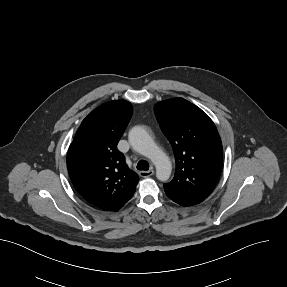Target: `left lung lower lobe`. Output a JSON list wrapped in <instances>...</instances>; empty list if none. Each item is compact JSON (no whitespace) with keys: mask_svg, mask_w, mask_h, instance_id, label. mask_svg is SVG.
<instances>
[{"mask_svg":"<svg viewBox=\"0 0 287 287\" xmlns=\"http://www.w3.org/2000/svg\"><path fill=\"white\" fill-rule=\"evenodd\" d=\"M165 193L171 200H173L174 202H176V203H178V204H180L182 206H191V205L198 204V203H195V202H190V201H185V200H182V199H178V198L173 197V195L170 194V193H167V192H165Z\"/></svg>","mask_w":287,"mask_h":287,"instance_id":"obj_1","label":"left lung lower lobe"}]
</instances>
